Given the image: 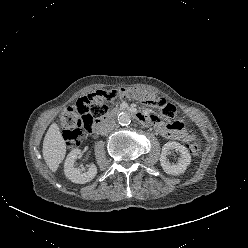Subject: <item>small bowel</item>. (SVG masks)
Listing matches in <instances>:
<instances>
[{
	"mask_svg": "<svg viewBox=\"0 0 248 248\" xmlns=\"http://www.w3.org/2000/svg\"><path fill=\"white\" fill-rule=\"evenodd\" d=\"M154 121L157 131L165 138L182 142H188L194 138H199V135L197 133H190L187 131L185 123L183 121H176L171 124H165L155 118Z\"/></svg>",
	"mask_w": 248,
	"mask_h": 248,
	"instance_id": "small-bowel-1",
	"label": "small bowel"
}]
</instances>
